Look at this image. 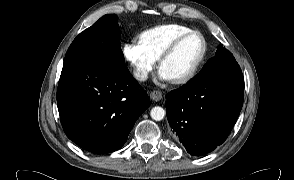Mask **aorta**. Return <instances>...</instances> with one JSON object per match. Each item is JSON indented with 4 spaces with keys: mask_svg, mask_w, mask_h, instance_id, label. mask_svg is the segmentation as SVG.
Masks as SVG:
<instances>
[{
    "mask_svg": "<svg viewBox=\"0 0 294 180\" xmlns=\"http://www.w3.org/2000/svg\"><path fill=\"white\" fill-rule=\"evenodd\" d=\"M150 116L155 121H160L165 116V110L162 107L155 106L150 111Z\"/></svg>",
    "mask_w": 294,
    "mask_h": 180,
    "instance_id": "762f6f07",
    "label": "aorta"
}]
</instances>
